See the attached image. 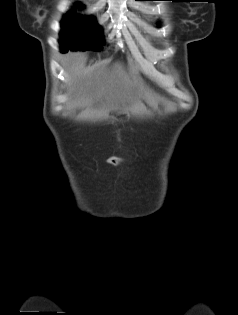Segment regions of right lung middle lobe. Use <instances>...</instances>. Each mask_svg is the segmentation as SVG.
<instances>
[{
    "instance_id": "right-lung-middle-lobe-1",
    "label": "right lung middle lobe",
    "mask_w": 238,
    "mask_h": 315,
    "mask_svg": "<svg viewBox=\"0 0 238 315\" xmlns=\"http://www.w3.org/2000/svg\"><path fill=\"white\" fill-rule=\"evenodd\" d=\"M60 33L61 50H101L103 43L101 28L94 18L76 14L74 11L67 13L61 22Z\"/></svg>"
}]
</instances>
